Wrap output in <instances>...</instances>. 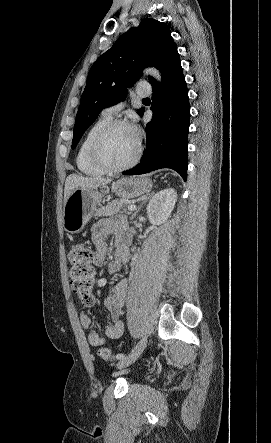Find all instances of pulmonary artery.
Segmentation results:
<instances>
[{"label":"pulmonary artery","instance_id":"1","mask_svg":"<svg viewBox=\"0 0 271 443\" xmlns=\"http://www.w3.org/2000/svg\"><path fill=\"white\" fill-rule=\"evenodd\" d=\"M140 96H146L149 93L148 92H144V91H138L137 92ZM121 108V105H117V106H113V107H109L103 110L102 114L103 115H112L114 112H116L117 110H119Z\"/></svg>","mask_w":271,"mask_h":443}]
</instances>
